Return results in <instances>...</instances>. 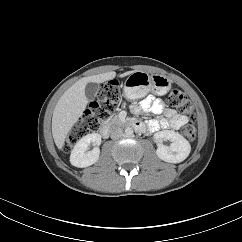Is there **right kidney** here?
<instances>
[{"label":"right kidney","instance_id":"right-kidney-1","mask_svg":"<svg viewBox=\"0 0 242 242\" xmlns=\"http://www.w3.org/2000/svg\"><path fill=\"white\" fill-rule=\"evenodd\" d=\"M100 143L101 136L98 133H92L82 137L71 152L70 163L79 168L94 164L99 159L100 149L98 146ZM91 145L94 146V148L88 151Z\"/></svg>","mask_w":242,"mask_h":242}]
</instances>
